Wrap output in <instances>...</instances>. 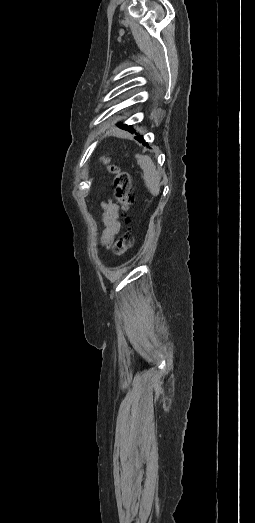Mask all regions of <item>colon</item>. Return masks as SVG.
<instances>
[{
  "label": "colon",
  "mask_w": 255,
  "mask_h": 523,
  "mask_svg": "<svg viewBox=\"0 0 255 523\" xmlns=\"http://www.w3.org/2000/svg\"><path fill=\"white\" fill-rule=\"evenodd\" d=\"M107 170L114 175V199L120 204L124 216V229L113 245L116 255L125 254L133 244V234L125 213L132 203V180L128 172L121 170L117 165L110 163L108 157L102 158Z\"/></svg>",
  "instance_id": "colon-1"
}]
</instances>
